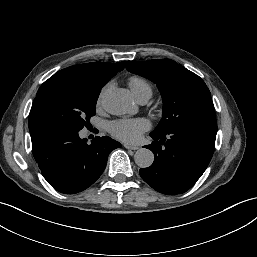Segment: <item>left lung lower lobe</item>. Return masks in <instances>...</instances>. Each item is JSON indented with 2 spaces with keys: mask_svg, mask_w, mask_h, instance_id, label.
<instances>
[{
  "mask_svg": "<svg viewBox=\"0 0 257 257\" xmlns=\"http://www.w3.org/2000/svg\"><path fill=\"white\" fill-rule=\"evenodd\" d=\"M216 120L188 123L166 133H150L154 139L145 146L155 160L140 175L152 188L176 195L189 190L206 170L214 153Z\"/></svg>",
  "mask_w": 257,
  "mask_h": 257,
  "instance_id": "left-lung-lower-lobe-1",
  "label": "left lung lower lobe"
}]
</instances>
